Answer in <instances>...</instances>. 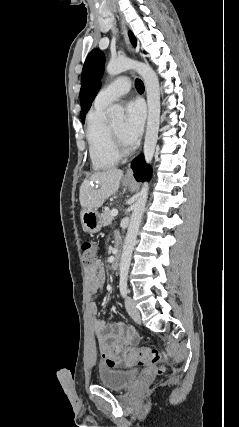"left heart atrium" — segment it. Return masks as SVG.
Here are the masks:
<instances>
[{
	"instance_id": "39dd6f15",
	"label": "left heart atrium",
	"mask_w": 239,
	"mask_h": 427,
	"mask_svg": "<svg viewBox=\"0 0 239 427\" xmlns=\"http://www.w3.org/2000/svg\"><path fill=\"white\" fill-rule=\"evenodd\" d=\"M145 111L140 101L134 100L126 105V118L122 127V139L128 145H134L142 131Z\"/></svg>"
}]
</instances>
